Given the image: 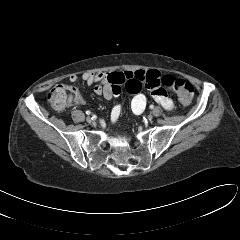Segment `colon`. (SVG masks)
Returning a JSON list of instances; mask_svg holds the SVG:
<instances>
[{
	"label": "colon",
	"mask_w": 240,
	"mask_h": 240,
	"mask_svg": "<svg viewBox=\"0 0 240 240\" xmlns=\"http://www.w3.org/2000/svg\"><path fill=\"white\" fill-rule=\"evenodd\" d=\"M163 84L166 87L173 88L183 104H188L192 100L194 88L190 82L183 79H175L171 75H165L163 77ZM75 92L76 89L72 86L57 85L49 91L47 100L53 109L61 111L67 107Z\"/></svg>",
	"instance_id": "1"
}]
</instances>
